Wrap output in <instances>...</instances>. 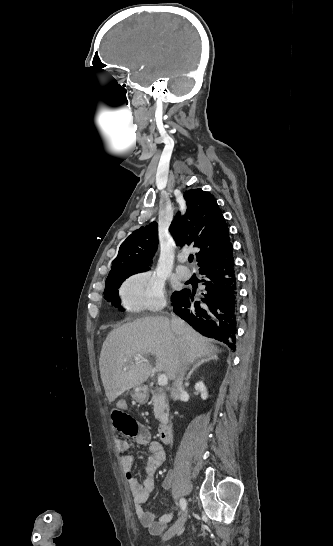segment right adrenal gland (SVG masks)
<instances>
[{"mask_svg":"<svg viewBox=\"0 0 333 546\" xmlns=\"http://www.w3.org/2000/svg\"><path fill=\"white\" fill-rule=\"evenodd\" d=\"M210 360H217L216 357H213V356H208V358H203L201 359L200 361H198L192 368V370H190V372L188 373L187 377H186V382L189 381V379L191 378L193 372L196 370V368H198L200 365H202L203 363L205 362H208Z\"/></svg>","mask_w":333,"mask_h":546,"instance_id":"2a0ac1e0","label":"right adrenal gland"}]
</instances>
